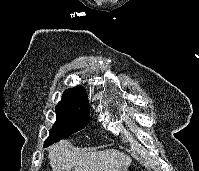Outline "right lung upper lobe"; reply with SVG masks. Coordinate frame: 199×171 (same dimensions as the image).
I'll use <instances>...</instances> for the list:
<instances>
[{
	"label": "right lung upper lobe",
	"instance_id": "obj_1",
	"mask_svg": "<svg viewBox=\"0 0 199 171\" xmlns=\"http://www.w3.org/2000/svg\"><path fill=\"white\" fill-rule=\"evenodd\" d=\"M70 104L89 103L86 90L82 86L67 89L62 96V101Z\"/></svg>",
	"mask_w": 199,
	"mask_h": 171
}]
</instances>
